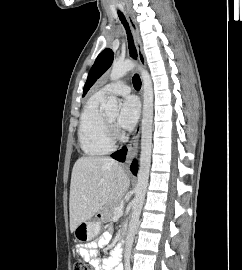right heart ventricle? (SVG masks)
<instances>
[{"mask_svg":"<svg viewBox=\"0 0 242 270\" xmlns=\"http://www.w3.org/2000/svg\"><path fill=\"white\" fill-rule=\"evenodd\" d=\"M104 98L93 95L86 103L78 129L79 145L89 156L104 155L113 149L108 140L105 114L101 109Z\"/></svg>","mask_w":242,"mask_h":270,"instance_id":"right-heart-ventricle-1","label":"right heart ventricle"}]
</instances>
